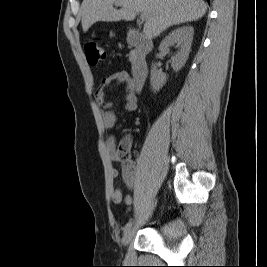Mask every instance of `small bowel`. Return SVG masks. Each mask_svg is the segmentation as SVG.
I'll use <instances>...</instances> for the list:
<instances>
[{
  "mask_svg": "<svg viewBox=\"0 0 267 267\" xmlns=\"http://www.w3.org/2000/svg\"><path fill=\"white\" fill-rule=\"evenodd\" d=\"M114 83H121L124 85L126 95H125V110L128 112H135L138 109V99L136 95V88L133 78L126 71H118L107 77H105L95 93L96 101L102 105L103 108V125L107 130L113 129L117 123V115L113 111V103L106 101V91ZM106 151L114 162H121L122 164V178L124 183L129 189H133L136 184V164L132 160L121 161L118 158L116 150V140L115 137L110 135L106 141ZM110 176L115 179L119 176V171L116 168L110 169ZM111 198L114 203L124 202L126 205L132 203L130 196L124 197L121 189H113L111 193Z\"/></svg>",
  "mask_w": 267,
  "mask_h": 267,
  "instance_id": "1",
  "label": "small bowel"
}]
</instances>
